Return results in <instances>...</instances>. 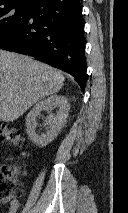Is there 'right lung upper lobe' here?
Segmentation results:
<instances>
[{"instance_id":"1","label":"right lung upper lobe","mask_w":128,"mask_h":213,"mask_svg":"<svg viewBox=\"0 0 128 213\" xmlns=\"http://www.w3.org/2000/svg\"><path fill=\"white\" fill-rule=\"evenodd\" d=\"M38 0H0V6L3 5H25L32 6Z\"/></svg>"}]
</instances>
